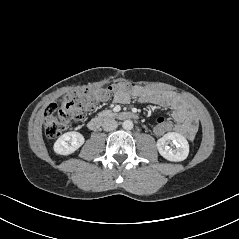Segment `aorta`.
I'll list each match as a JSON object with an SVG mask.
<instances>
[{"mask_svg":"<svg viewBox=\"0 0 239 239\" xmlns=\"http://www.w3.org/2000/svg\"><path fill=\"white\" fill-rule=\"evenodd\" d=\"M122 127L123 129L125 130H131L133 128V122L131 120H125L123 123H122Z\"/></svg>","mask_w":239,"mask_h":239,"instance_id":"obj_1","label":"aorta"}]
</instances>
